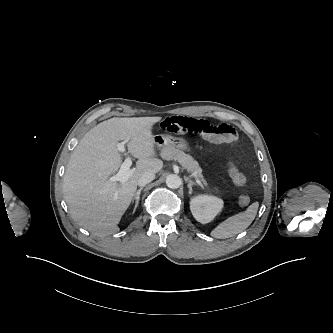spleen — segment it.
I'll use <instances>...</instances> for the list:
<instances>
[{"label": "spleen", "instance_id": "obj_1", "mask_svg": "<svg viewBox=\"0 0 333 333\" xmlns=\"http://www.w3.org/2000/svg\"><path fill=\"white\" fill-rule=\"evenodd\" d=\"M259 203H252L244 212L238 213L219 223L212 231L215 238H229L245 230L253 222L258 211Z\"/></svg>", "mask_w": 333, "mask_h": 333}]
</instances>
